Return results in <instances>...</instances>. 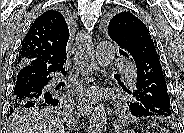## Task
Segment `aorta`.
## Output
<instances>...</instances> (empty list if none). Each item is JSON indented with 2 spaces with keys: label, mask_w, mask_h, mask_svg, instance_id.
<instances>
[{
  "label": "aorta",
  "mask_w": 184,
  "mask_h": 133,
  "mask_svg": "<svg viewBox=\"0 0 184 133\" xmlns=\"http://www.w3.org/2000/svg\"><path fill=\"white\" fill-rule=\"evenodd\" d=\"M116 48L107 41H102L96 46V61L102 69H107L115 58ZM107 115L105 105L98 104L93 109L90 117L88 133H106Z\"/></svg>",
  "instance_id": "aorta-1"
}]
</instances>
